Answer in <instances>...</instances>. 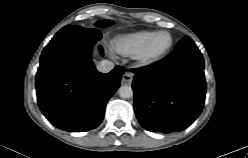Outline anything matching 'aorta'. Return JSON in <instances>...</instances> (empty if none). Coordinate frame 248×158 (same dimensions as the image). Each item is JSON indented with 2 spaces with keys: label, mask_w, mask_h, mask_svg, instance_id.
Returning <instances> with one entry per match:
<instances>
[{
  "label": "aorta",
  "mask_w": 248,
  "mask_h": 158,
  "mask_svg": "<svg viewBox=\"0 0 248 158\" xmlns=\"http://www.w3.org/2000/svg\"><path fill=\"white\" fill-rule=\"evenodd\" d=\"M118 94L123 99L131 98L133 97V90L130 86L123 85L119 88Z\"/></svg>",
  "instance_id": "1"
}]
</instances>
